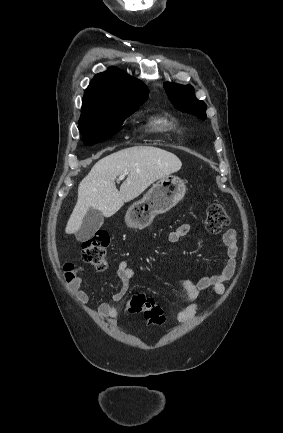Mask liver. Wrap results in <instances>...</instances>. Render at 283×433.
I'll use <instances>...</instances> for the list:
<instances>
[{
    "mask_svg": "<svg viewBox=\"0 0 283 433\" xmlns=\"http://www.w3.org/2000/svg\"><path fill=\"white\" fill-rule=\"evenodd\" d=\"M181 166L176 154L157 146H130L104 156L81 180L65 233L72 235L79 231L89 208L101 210L104 217H112L124 202L133 200L152 182L177 172ZM124 172L128 176L118 190L114 180Z\"/></svg>",
    "mask_w": 283,
    "mask_h": 433,
    "instance_id": "1",
    "label": "liver"
}]
</instances>
